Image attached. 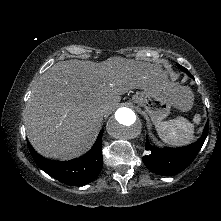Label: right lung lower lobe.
<instances>
[{
    "label": "right lung lower lobe",
    "instance_id": "1",
    "mask_svg": "<svg viewBox=\"0 0 221 221\" xmlns=\"http://www.w3.org/2000/svg\"><path fill=\"white\" fill-rule=\"evenodd\" d=\"M102 135L101 131L88 153L69 161L46 159L39 155L29 142L27 143L34 161L42 170L62 183L80 186L95 180L102 169Z\"/></svg>",
    "mask_w": 221,
    "mask_h": 221
}]
</instances>
